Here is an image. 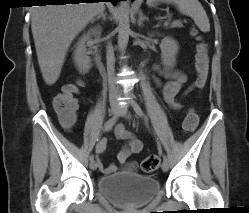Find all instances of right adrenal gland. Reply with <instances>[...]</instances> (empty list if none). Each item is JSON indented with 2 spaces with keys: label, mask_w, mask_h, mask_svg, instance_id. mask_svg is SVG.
I'll return each instance as SVG.
<instances>
[{
  "label": "right adrenal gland",
  "mask_w": 249,
  "mask_h": 213,
  "mask_svg": "<svg viewBox=\"0 0 249 213\" xmlns=\"http://www.w3.org/2000/svg\"><path fill=\"white\" fill-rule=\"evenodd\" d=\"M105 16H106V13L103 11L97 17L93 18L91 22L93 23L94 21H96V20H98L100 18H103V20H105L106 19Z\"/></svg>",
  "instance_id": "1"
}]
</instances>
